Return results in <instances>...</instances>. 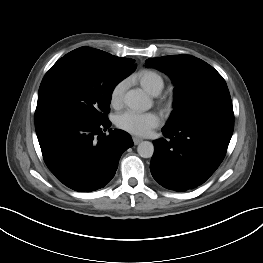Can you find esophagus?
<instances>
[{
    "label": "esophagus",
    "mask_w": 263,
    "mask_h": 263,
    "mask_svg": "<svg viewBox=\"0 0 263 263\" xmlns=\"http://www.w3.org/2000/svg\"><path fill=\"white\" fill-rule=\"evenodd\" d=\"M141 141H142V138H139V137H136V136L133 137V142H134L135 145H138Z\"/></svg>",
    "instance_id": "obj_1"
}]
</instances>
